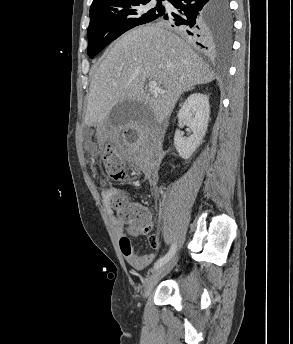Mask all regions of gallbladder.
<instances>
[{
  "instance_id": "1",
  "label": "gallbladder",
  "mask_w": 293,
  "mask_h": 344,
  "mask_svg": "<svg viewBox=\"0 0 293 344\" xmlns=\"http://www.w3.org/2000/svg\"><path fill=\"white\" fill-rule=\"evenodd\" d=\"M147 108L138 101H123L113 107L109 113L106 125L107 127L124 126L131 121L139 120ZM107 128H101L99 137L106 135Z\"/></svg>"
}]
</instances>
